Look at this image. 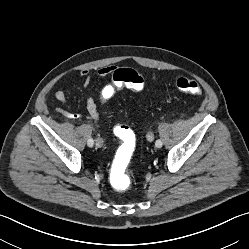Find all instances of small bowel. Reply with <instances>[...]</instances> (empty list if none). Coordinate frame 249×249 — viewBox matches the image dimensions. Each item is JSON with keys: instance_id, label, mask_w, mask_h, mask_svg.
<instances>
[{"instance_id": "1", "label": "small bowel", "mask_w": 249, "mask_h": 249, "mask_svg": "<svg viewBox=\"0 0 249 249\" xmlns=\"http://www.w3.org/2000/svg\"><path fill=\"white\" fill-rule=\"evenodd\" d=\"M115 69L116 67L112 65L103 66L97 71V76L99 78H106L108 76H112ZM76 76L80 78L81 80H83V85L85 88H88L90 86L91 73L89 70L83 69L79 71ZM151 79L153 81H156L157 77L155 73L151 75ZM113 94H114V86L112 83H109V84L104 85L100 89L98 98L92 95H89L86 98V102H85L86 112H87L89 119H91L94 123L98 124L101 122L99 104L111 98ZM55 98L58 102H60L61 104L65 106V110H63V113L67 117L73 118V119H76L79 117L77 114L72 113L71 105L68 101L66 93L63 90H57L55 93Z\"/></svg>"}]
</instances>
